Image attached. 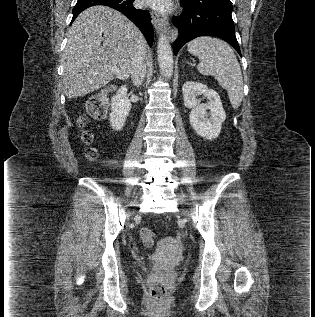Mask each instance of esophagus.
Wrapping results in <instances>:
<instances>
[{"instance_id": "1", "label": "esophagus", "mask_w": 315, "mask_h": 317, "mask_svg": "<svg viewBox=\"0 0 315 317\" xmlns=\"http://www.w3.org/2000/svg\"><path fill=\"white\" fill-rule=\"evenodd\" d=\"M151 16H152L154 27H155L157 32L168 31L170 39H172V40L177 37V31L172 30L169 27L168 20L165 16H163L157 12H154V11L151 12Z\"/></svg>"}]
</instances>
